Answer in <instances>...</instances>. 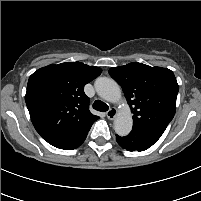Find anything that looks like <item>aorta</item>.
Segmentation results:
<instances>
[{"label":"aorta","mask_w":201,"mask_h":201,"mask_svg":"<svg viewBox=\"0 0 201 201\" xmlns=\"http://www.w3.org/2000/svg\"><path fill=\"white\" fill-rule=\"evenodd\" d=\"M97 94L104 100L117 103L122 98L118 83L112 78L99 77L95 81ZM133 126L132 113L128 105H124L114 120V130L119 136H127Z\"/></svg>","instance_id":"aorta-1"}]
</instances>
